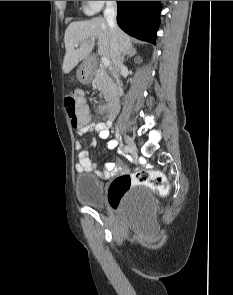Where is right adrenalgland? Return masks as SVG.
Instances as JSON below:
<instances>
[{
    "label": "right adrenal gland",
    "mask_w": 233,
    "mask_h": 295,
    "mask_svg": "<svg viewBox=\"0 0 233 295\" xmlns=\"http://www.w3.org/2000/svg\"><path fill=\"white\" fill-rule=\"evenodd\" d=\"M136 53H137V51H136L135 48H131L129 51L124 52V54H123V61H125V56H126L127 59H128V58H130V57L136 55Z\"/></svg>",
    "instance_id": "2a0ac1e0"
}]
</instances>
